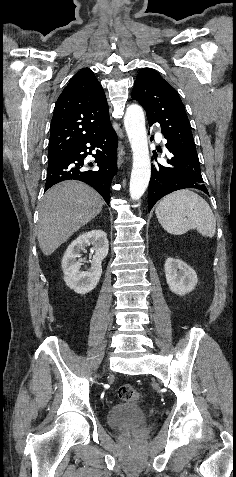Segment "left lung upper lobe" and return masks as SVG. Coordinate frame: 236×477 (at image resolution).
I'll use <instances>...</instances> for the list:
<instances>
[{
	"instance_id": "1",
	"label": "left lung upper lobe",
	"mask_w": 236,
	"mask_h": 477,
	"mask_svg": "<svg viewBox=\"0 0 236 477\" xmlns=\"http://www.w3.org/2000/svg\"><path fill=\"white\" fill-rule=\"evenodd\" d=\"M131 97L145 109L150 125L160 124L167 145L198 157L180 96L158 72L142 69L136 77Z\"/></svg>"
}]
</instances>
